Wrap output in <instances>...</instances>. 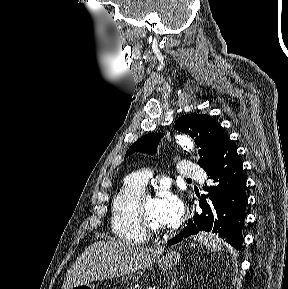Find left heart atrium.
Segmentation results:
<instances>
[{
    "instance_id": "left-heart-atrium-1",
    "label": "left heart atrium",
    "mask_w": 288,
    "mask_h": 289,
    "mask_svg": "<svg viewBox=\"0 0 288 289\" xmlns=\"http://www.w3.org/2000/svg\"><path fill=\"white\" fill-rule=\"evenodd\" d=\"M160 222L165 226H175L183 213L181 200L171 192H166L158 199Z\"/></svg>"
}]
</instances>
